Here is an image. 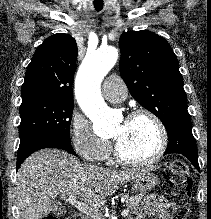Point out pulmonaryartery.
Instances as JSON below:
<instances>
[{"mask_svg": "<svg viewBox=\"0 0 211 219\" xmlns=\"http://www.w3.org/2000/svg\"><path fill=\"white\" fill-rule=\"evenodd\" d=\"M103 95L111 102H121L127 96V87L120 76L111 75L103 83Z\"/></svg>", "mask_w": 211, "mask_h": 219, "instance_id": "1", "label": "pulmonary artery"}]
</instances>
